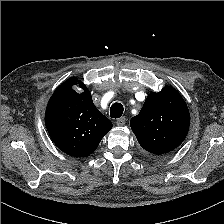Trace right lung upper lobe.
<instances>
[{
	"instance_id": "right-lung-upper-lobe-1",
	"label": "right lung upper lobe",
	"mask_w": 224,
	"mask_h": 224,
	"mask_svg": "<svg viewBox=\"0 0 224 224\" xmlns=\"http://www.w3.org/2000/svg\"><path fill=\"white\" fill-rule=\"evenodd\" d=\"M76 84L83 89L82 93L72 89ZM45 124L55 145L76 157L92 154L112 128L111 121L94 106L90 91L75 77L63 82L51 96Z\"/></svg>"
}]
</instances>
